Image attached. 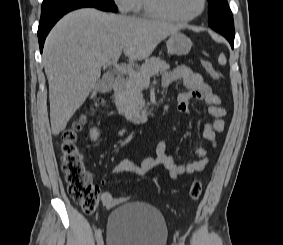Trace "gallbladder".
I'll return each mask as SVG.
<instances>
[{"label":"gallbladder","instance_id":"1","mask_svg":"<svg viewBox=\"0 0 283 245\" xmlns=\"http://www.w3.org/2000/svg\"><path fill=\"white\" fill-rule=\"evenodd\" d=\"M111 89V84L108 83L104 78L100 80L99 86H98V91L101 93H105Z\"/></svg>","mask_w":283,"mask_h":245}]
</instances>
